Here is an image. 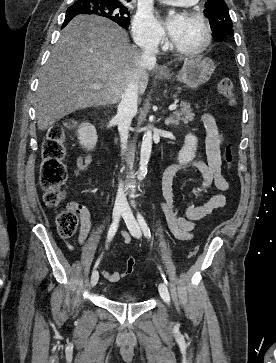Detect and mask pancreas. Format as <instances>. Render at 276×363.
I'll return each instance as SVG.
<instances>
[{
  "instance_id": "cf45deb5",
  "label": "pancreas",
  "mask_w": 276,
  "mask_h": 363,
  "mask_svg": "<svg viewBox=\"0 0 276 363\" xmlns=\"http://www.w3.org/2000/svg\"><path fill=\"white\" fill-rule=\"evenodd\" d=\"M196 107L198 108V105H196ZM173 115L178 123L180 121H182L183 123H188L189 121L194 120V113L192 112L190 104L184 101H181L180 103V110L174 111Z\"/></svg>"
}]
</instances>
